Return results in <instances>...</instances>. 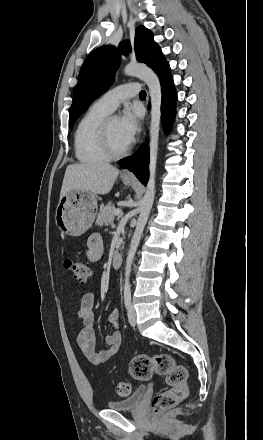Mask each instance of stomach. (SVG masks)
<instances>
[{"label": "stomach", "instance_id": "stomach-1", "mask_svg": "<svg viewBox=\"0 0 263 440\" xmlns=\"http://www.w3.org/2000/svg\"><path fill=\"white\" fill-rule=\"evenodd\" d=\"M130 185V180H123ZM97 198L93 193L71 190L60 197L56 208L55 222L62 233L80 236L93 224L97 215Z\"/></svg>", "mask_w": 263, "mask_h": 440}]
</instances>
